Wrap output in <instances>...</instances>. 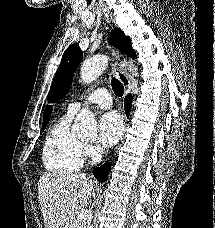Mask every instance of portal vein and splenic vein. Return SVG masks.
<instances>
[{"label": "portal vein and splenic vein", "mask_w": 215, "mask_h": 228, "mask_svg": "<svg viewBox=\"0 0 215 228\" xmlns=\"http://www.w3.org/2000/svg\"><path fill=\"white\" fill-rule=\"evenodd\" d=\"M89 218L90 214L88 210H81L80 214H78V220H80V222H85V220H89Z\"/></svg>", "instance_id": "1"}]
</instances>
